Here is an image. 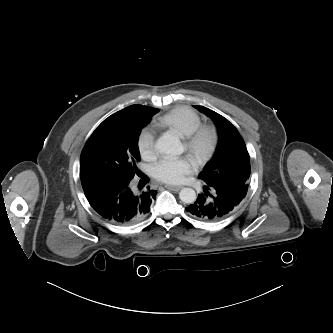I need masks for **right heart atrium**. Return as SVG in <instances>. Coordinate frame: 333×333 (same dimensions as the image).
<instances>
[{
	"label": "right heart atrium",
	"instance_id": "obj_1",
	"mask_svg": "<svg viewBox=\"0 0 333 333\" xmlns=\"http://www.w3.org/2000/svg\"><path fill=\"white\" fill-rule=\"evenodd\" d=\"M138 150L140 156L145 160H152L156 156V144L153 133L145 130L138 139Z\"/></svg>",
	"mask_w": 333,
	"mask_h": 333
}]
</instances>
